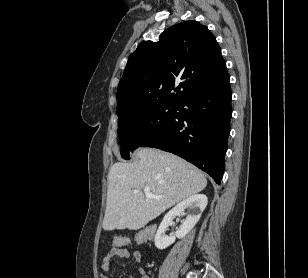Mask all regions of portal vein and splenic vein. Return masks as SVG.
Returning a JSON list of instances; mask_svg holds the SVG:
<instances>
[{
  "label": "portal vein and splenic vein",
  "instance_id": "portal-vein-and-splenic-vein-1",
  "mask_svg": "<svg viewBox=\"0 0 308 278\" xmlns=\"http://www.w3.org/2000/svg\"><path fill=\"white\" fill-rule=\"evenodd\" d=\"M138 192H139L138 190H134V191H133L134 194H136V193H138ZM144 193H145L146 197H148V198H155V199H161V198H162V196L153 195V194L150 192L149 187H145V188H144Z\"/></svg>",
  "mask_w": 308,
  "mask_h": 278
}]
</instances>
